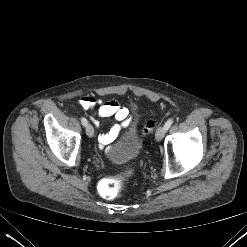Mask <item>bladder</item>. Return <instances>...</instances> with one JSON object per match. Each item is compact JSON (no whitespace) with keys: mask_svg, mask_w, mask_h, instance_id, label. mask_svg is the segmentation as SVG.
<instances>
[{"mask_svg":"<svg viewBox=\"0 0 247 247\" xmlns=\"http://www.w3.org/2000/svg\"><path fill=\"white\" fill-rule=\"evenodd\" d=\"M143 146L138 134L137 123L133 122L125 136L108 154L112 163L122 164L137 158Z\"/></svg>","mask_w":247,"mask_h":247,"instance_id":"31cf9c89","label":"bladder"}]
</instances>
